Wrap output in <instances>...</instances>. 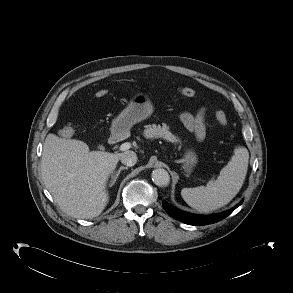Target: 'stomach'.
<instances>
[{"mask_svg": "<svg viewBox=\"0 0 293 293\" xmlns=\"http://www.w3.org/2000/svg\"><path fill=\"white\" fill-rule=\"evenodd\" d=\"M152 113L153 106L149 96L147 94L137 93L113 121L111 132L114 136L121 137L128 133L133 125L147 119ZM197 161L196 153L188 149L183 155V168L190 173Z\"/></svg>", "mask_w": 293, "mask_h": 293, "instance_id": "stomach-1", "label": "stomach"}]
</instances>
